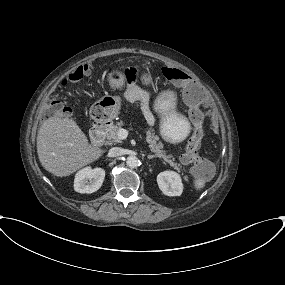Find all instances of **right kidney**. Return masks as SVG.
<instances>
[{
    "label": "right kidney",
    "instance_id": "ca27d5eb",
    "mask_svg": "<svg viewBox=\"0 0 285 285\" xmlns=\"http://www.w3.org/2000/svg\"><path fill=\"white\" fill-rule=\"evenodd\" d=\"M104 178L105 171L102 168H83L75 175L74 190L82 194H91L102 186Z\"/></svg>",
    "mask_w": 285,
    "mask_h": 285
}]
</instances>
